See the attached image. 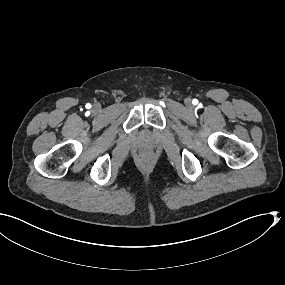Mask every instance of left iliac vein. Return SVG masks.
Wrapping results in <instances>:
<instances>
[{
    "mask_svg": "<svg viewBox=\"0 0 285 285\" xmlns=\"http://www.w3.org/2000/svg\"><path fill=\"white\" fill-rule=\"evenodd\" d=\"M190 105H191V101L188 99L187 100V106L190 107Z\"/></svg>",
    "mask_w": 285,
    "mask_h": 285,
    "instance_id": "4c4485c4",
    "label": "left iliac vein"
}]
</instances>
